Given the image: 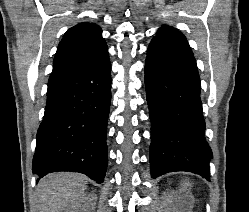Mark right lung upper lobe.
I'll list each match as a JSON object with an SVG mask.
<instances>
[{"mask_svg": "<svg viewBox=\"0 0 249 212\" xmlns=\"http://www.w3.org/2000/svg\"><path fill=\"white\" fill-rule=\"evenodd\" d=\"M106 56L101 28L94 23H79L59 43L49 81L86 69Z\"/></svg>", "mask_w": 249, "mask_h": 212, "instance_id": "right-lung-upper-lobe-1", "label": "right lung upper lobe"}]
</instances>
